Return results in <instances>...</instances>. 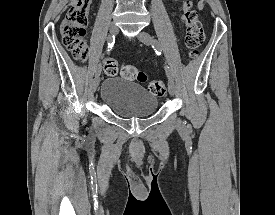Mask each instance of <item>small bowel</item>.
<instances>
[{
  "label": "small bowel",
  "mask_w": 275,
  "mask_h": 215,
  "mask_svg": "<svg viewBox=\"0 0 275 215\" xmlns=\"http://www.w3.org/2000/svg\"><path fill=\"white\" fill-rule=\"evenodd\" d=\"M197 5H198L199 8H202L204 6V3L202 2V0H199L197 2Z\"/></svg>",
  "instance_id": "1"
}]
</instances>
